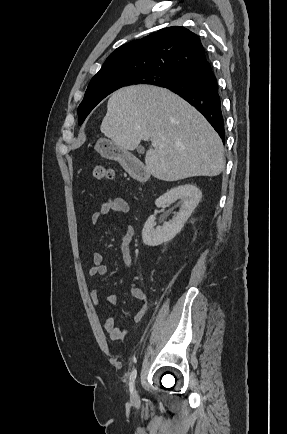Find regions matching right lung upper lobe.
<instances>
[{
	"mask_svg": "<svg viewBox=\"0 0 287 434\" xmlns=\"http://www.w3.org/2000/svg\"><path fill=\"white\" fill-rule=\"evenodd\" d=\"M206 59L204 47L195 33L172 26L117 48L92 80L147 72L181 75Z\"/></svg>",
	"mask_w": 287,
	"mask_h": 434,
	"instance_id": "1",
	"label": "right lung upper lobe"
}]
</instances>
